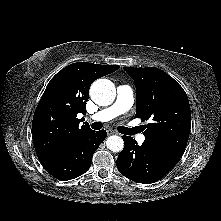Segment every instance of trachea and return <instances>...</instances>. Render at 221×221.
<instances>
[{
	"instance_id": "obj_1",
	"label": "trachea",
	"mask_w": 221,
	"mask_h": 221,
	"mask_svg": "<svg viewBox=\"0 0 221 221\" xmlns=\"http://www.w3.org/2000/svg\"><path fill=\"white\" fill-rule=\"evenodd\" d=\"M92 128L95 129V130H99V129L102 128V123L94 122V123H92ZM121 132L123 134H126V135H132V134H135L137 132V129L136 128L122 127Z\"/></svg>"
}]
</instances>
